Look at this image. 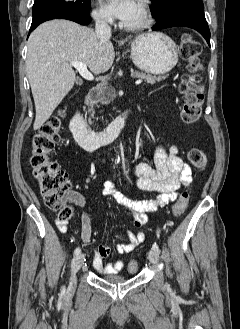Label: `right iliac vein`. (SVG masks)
<instances>
[{"instance_id": "right-iliac-vein-1", "label": "right iliac vein", "mask_w": 240, "mask_h": 329, "mask_svg": "<svg viewBox=\"0 0 240 329\" xmlns=\"http://www.w3.org/2000/svg\"><path fill=\"white\" fill-rule=\"evenodd\" d=\"M84 262V255L79 254L75 257V259L72 262L71 267V277L69 282V290H73L76 286V273L81 268L82 264Z\"/></svg>"}]
</instances>
